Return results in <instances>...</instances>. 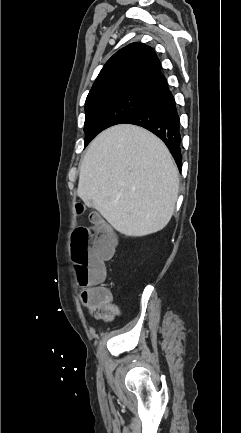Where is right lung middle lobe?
<instances>
[{
  "label": "right lung middle lobe",
  "mask_w": 241,
  "mask_h": 433,
  "mask_svg": "<svg viewBox=\"0 0 241 433\" xmlns=\"http://www.w3.org/2000/svg\"><path fill=\"white\" fill-rule=\"evenodd\" d=\"M149 94L120 93L85 102V146L102 130L123 123L149 99Z\"/></svg>",
  "instance_id": "dd1d6c3e"
}]
</instances>
